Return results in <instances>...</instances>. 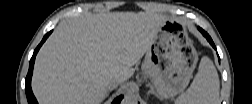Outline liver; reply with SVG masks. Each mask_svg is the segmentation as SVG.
Instances as JSON below:
<instances>
[{"mask_svg":"<svg viewBox=\"0 0 252 104\" xmlns=\"http://www.w3.org/2000/svg\"><path fill=\"white\" fill-rule=\"evenodd\" d=\"M166 20L156 13L109 12L60 23L36 57L35 97L42 104L102 103L108 82L134 74Z\"/></svg>","mask_w":252,"mask_h":104,"instance_id":"obj_1","label":"liver"}]
</instances>
